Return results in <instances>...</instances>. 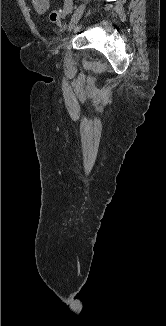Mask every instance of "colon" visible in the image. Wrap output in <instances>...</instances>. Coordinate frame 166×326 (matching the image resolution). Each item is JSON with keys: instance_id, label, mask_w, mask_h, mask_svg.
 Listing matches in <instances>:
<instances>
[{"instance_id": "colon-1", "label": "colon", "mask_w": 166, "mask_h": 326, "mask_svg": "<svg viewBox=\"0 0 166 326\" xmlns=\"http://www.w3.org/2000/svg\"><path fill=\"white\" fill-rule=\"evenodd\" d=\"M64 11H65L64 8H60L58 10L52 11L49 15L50 21L53 23L58 22L61 16L63 15Z\"/></svg>"}]
</instances>
